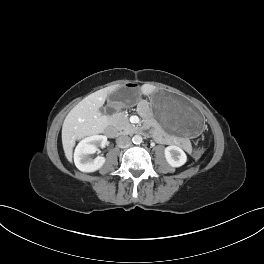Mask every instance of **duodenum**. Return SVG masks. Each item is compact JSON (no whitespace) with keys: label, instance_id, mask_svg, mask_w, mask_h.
Listing matches in <instances>:
<instances>
[{"label":"duodenum","instance_id":"410a0bca","mask_svg":"<svg viewBox=\"0 0 264 264\" xmlns=\"http://www.w3.org/2000/svg\"><path fill=\"white\" fill-rule=\"evenodd\" d=\"M132 132L133 133H142V132H144V129H142L140 127H135L132 129ZM105 133L110 137H114L117 135L118 131L111 124H108L107 127L105 128Z\"/></svg>","mask_w":264,"mask_h":264}]
</instances>
